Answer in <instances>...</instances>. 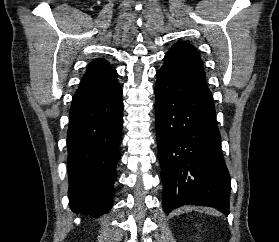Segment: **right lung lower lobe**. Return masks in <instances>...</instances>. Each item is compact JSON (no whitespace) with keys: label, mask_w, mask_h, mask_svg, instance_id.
Segmentation results:
<instances>
[{"label":"right lung lower lobe","mask_w":279,"mask_h":242,"mask_svg":"<svg viewBox=\"0 0 279 242\" xmlns=\"http://www.w3.org/2000/svg\"><path fill=\"white\" fill-rule=\"evenodd\" d=\"M120 85L100 95L73 100L67 131L69 204L93 216L112 206L122 128Z\"/></svg>","instance_id":"obj_1"}]
</instances>
